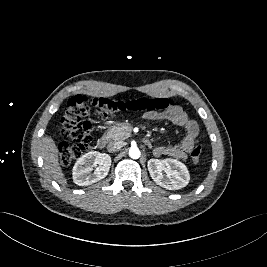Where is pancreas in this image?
<instances>
[{"mask_svg":"<svg viewBox=\"0 0 267 267\" xmlns=\"http://www.w3.org/2000/svg\"><path fill=\"white\" fill-rule=\"evenodd\" d=\"M130 132L131 128L129 127H113L104 134V138L107 140H124L129 137Z\"/></svg>","mask_w":267,"mask_h":267,"instance_id":"1","label":"pancreas"}]
</instances>
